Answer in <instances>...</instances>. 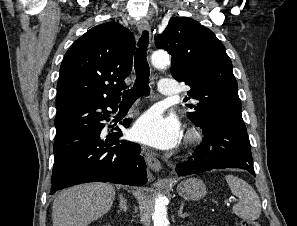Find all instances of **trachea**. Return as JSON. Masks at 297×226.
Instances as JSON below:
<instances>
[{
  "mask_svg": "<svg viewBox=\"0 0 297 226\" xmlns=\"http://www.w3.org/2000/svg\"><path fill=\"white\" fill-rule=\"evenodd\" d=\"M148 43V31H143V34L138 42L139 48L134 56L136 80L131 89L123 92L122 104L124 105L133 104L139 97L146 96L150 93V69L146 58Z\"/></svg>",
  "mask_w": 297,
  "mask_h": 226,
  "instance_id": "3493384b",
  "label": "trachea"
}]
</instances>
